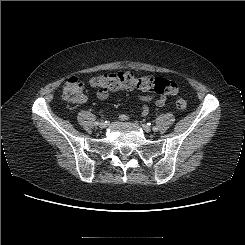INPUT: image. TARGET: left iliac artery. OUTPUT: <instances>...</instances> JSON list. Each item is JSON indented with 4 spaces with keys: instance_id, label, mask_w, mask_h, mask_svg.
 <instances>
[{
    "instance_id": "1",
    "label": "left iliac artery",
    "mask_w": 245,
    "mask_h": 245,
    "mask_svg": "<svg viewBox=\"0 0 245 245\" xmlns=\"http://www.w3.org/2000/svg\"><path fill=\"white\" fill-rule=\"evenodd\" d=\"M153 130H154V131H157V130H158V128H157L156 126H154V127H153Z\"/></svg>"
}]
</instances>
